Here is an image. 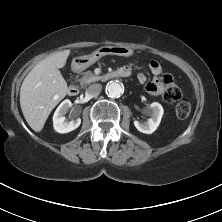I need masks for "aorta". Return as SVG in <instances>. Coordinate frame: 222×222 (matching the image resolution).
Returning <instances> with one entry per match:
<instances>
[{"label":"aorta","mask_w":222,"mask_h":222,"mask_svg":"<svg viewBox=\"0 0 222 222\" xmlns=\"http://www.w3.org/2000/svg\"><path fill=\"white\" fill-rule=\"evenodd\" d=\"M123 90V85L119 81H110L106 85V93L112 98L120 97Z\"/></svg>","instance_id":"obj_1"}]
</instances>
